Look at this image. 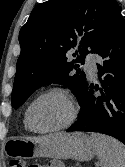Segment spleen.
<instances>
[{"mask_svg": "<svg viewBox=\"0 0 125 167\" xmlns=\"http://www.w3.org/2000/svg\"><path fill=\"white\" fill-rule=\"evenodd\" d=\"M101 167H125V145L110 136L92 133Z\"/></svg>", "mask_w": 125, "mask_h": 167, "instance_id": "spleen-1", "label": "spleen"}]
</instances>
